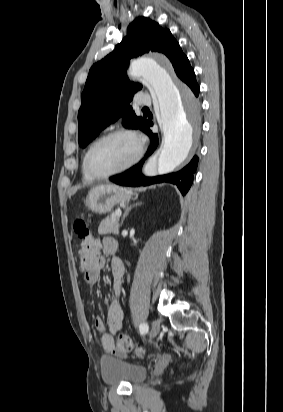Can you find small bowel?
I'll return each mask as SVG.
<instances>
[{
  "mask_svg": "<svg viewBox=\"0 0 283 412\" xmlns=\"http://www.w3.org/2000/svg\"><path fill=\"white\" fill-rule=\"evenodd\" d=\"M112 246H117V242L112 238H104L102 243L98 242V254L93 262L84 267L80 261L81 268L84 272L85 280L90 285H95L100 277V273L105 264V259L100 255L102 250L106 255H112ZM111 273H112V300L107 310L106 325L101 318H96L94 325L96 330L100 333V343L102 349L106 355L122 356L124 353L119 352L114 347V335L121 329L124 319V312L119 302V295L122 289L124 267L122 262L118 258H112L111 260ZM106 326L108 330H106Z\"/></svg>",
  "mask_w": 283,
  "mask_h": 412,
  "instance_id": "1",
  "label": "small bowel"
}]
</instances>
